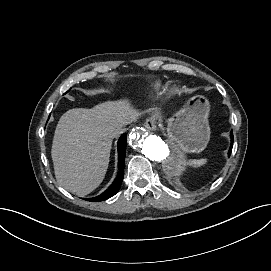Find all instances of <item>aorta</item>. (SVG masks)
I'll use <instances>...</instances> for the list:
<instances>
[{"label": "aorta", "mask_w": 271, "mask_h": 271, "mask_svg": "<svg viewBox=\"0 0 271 271\" xmlns=\"http://www.w3.org/2000/svg\"><path fill=\"white\" fill-rule=\"evenodd\" d=\"M128 140L129 145L146 158L161 163L167 174L178 175L191 163L185 159L188 151L185 147L175 141L164 142L143 127L132 129Z\"/></svg>", "instance_id": "1"}]
</instances>
